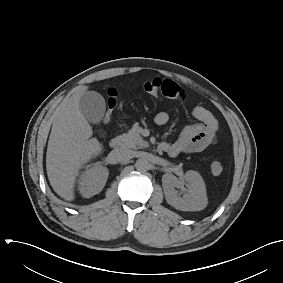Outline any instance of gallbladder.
Listing matches in <instances>:
<instances>
[{"mask_svg":"<svg viewBox=\"0 0 283 283\" xmlns=\"http://www.w3.org/2000/svg\"><path fill=\"white\" fill-rule=\"evenodd\" d=\"M79 104L81 112L90 123L98 124L102 121L106 104L101 94L87 91L81 96Z\"/></svg>","mask_w":283,"mask_h":283,"instance_id":"gallbladder-1","label":"gallbladder"}]
</instances>
